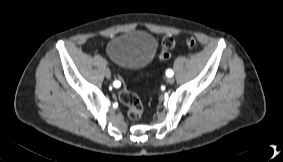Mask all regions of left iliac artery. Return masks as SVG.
<instances>
[{
  "mask_svg": "<svg viewBox=\"0 0 283 162\" xmlns=\"http://www.w3.org/2000/svg\"><path fill=\"white\" fill-rule=\"evenodd\" d=\"M173 74H174V72H173L171 69H168V70L166 71V75H167L168 77H172Z\"/></svg>",
  "mask_w": 283,
  "mask_h": 162,
  "instance_id": "1",
  "label": "left iliac artery"
}]
</instances>
